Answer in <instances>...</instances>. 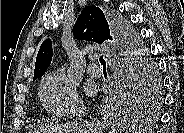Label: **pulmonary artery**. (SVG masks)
I'll return each mask as SVG.
<instances>
[{
	"instance_id": "obj_1",
	"label": "pulmonary artery",
	"mask_w": 184,
	"mask_h": 133,
	"mask_svg": "<svg viewBox=\"0 0 184 133\" xmlns=\"http://www.w3.org/2000/svg\"><path fill=\"white\" fill-rule=\"evenodd\" d=\"M91 58H92V60H94L95 59V56H92ZM87 73H88L89 76H91L93 78H99V77L102 76V70H101V68H99L95 64H90L87 67Z\"/></svg>"
}]
</instances>
